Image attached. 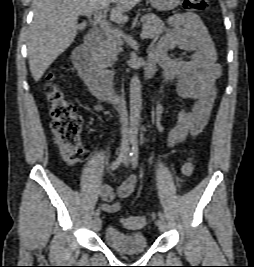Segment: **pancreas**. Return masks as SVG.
<instances>
[{"mask_svg":"<svg viewBox=\"0 0 254 267\" xmlns=\"http://www.w3.org/2000/svg\"><path fill=\"white\" fill-rule=\"evenodd\" d=\"M141 22L142 33H145L146 38L157 39L166 31L164 23L155 14H147L143 16ZM121 44V39H113L107 36L96 50V61L104 68L111 66L121 50Z\"/></svg>","mask_w":254,"mask_h":267,"instance_id":"cf45deb5","label":"pancreas"}]
</instances>
